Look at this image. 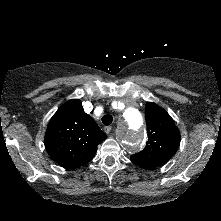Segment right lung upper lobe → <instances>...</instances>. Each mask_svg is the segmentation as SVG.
<instances>
[{
  "instance_id": "right-lung-upper-lobe-1",
  "label": "right lung upper lobe",
  "mask_w": 221,
  "mask_h": 221,
  "mask_svg": "<svg viewBox=\"0 0 221 221\" xmlns=\"http://www.w3.org/2000/svg\"><path fill=\"white\" fill-rule=\"evenodd\" d=\"M107 138L94 119L84 112L79 99L64 103L51 118L45 148L56 163L67 169L93 159L97 146Z\"/></svg>"
}]
</instances>
